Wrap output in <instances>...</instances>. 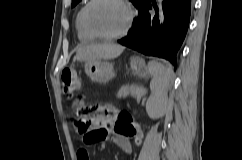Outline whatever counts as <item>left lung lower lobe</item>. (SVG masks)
Returning a JSON list of instances; mask_svg holds the SVG:
<instances>
[{"instance_id":"1","label":"left lung lower lobe","mask_w":242,"mask_h":160,"mask_svg":"<svg viewBox=\"0 0 242 160\" xmlns=\"http://www.w3.org/2000/svg\"><path fill=\"white\" fill-rule=\"evenodd\" d=\"M192 0H146L128 35L118 42L177 66L176 55L186 36Z\"/></svg>"}]
</instances>
